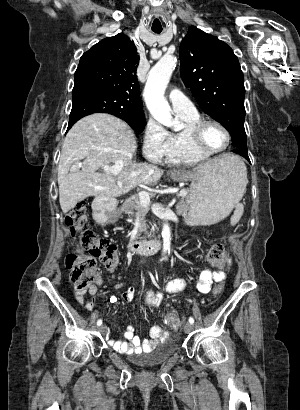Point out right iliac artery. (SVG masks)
Returning <instances> with one entry per match:
<instances>
[{"mask_svg": "<svg viewBox=\"0 0 300 410\" xmlns=\"http://www.w3.org/2000/svg\"><path fill=\"white\" fill-rule=\"evenodd\" d=\"M101 324H102V320L99 319V320L97 321V326H100Z\"/></svg>", "mask_w": 300, "mask_h": 410, "instance_id": "obj_1", "label": "right iliac artery"}]
</instances>
